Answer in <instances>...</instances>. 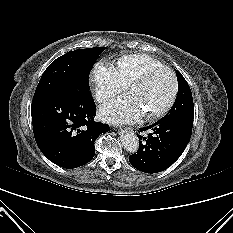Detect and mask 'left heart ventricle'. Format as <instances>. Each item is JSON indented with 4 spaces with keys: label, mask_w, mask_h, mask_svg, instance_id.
Instances as JSON below:
<instances>
[{
    "label": "left heart ventricle",
    "mask_w": 233,
    "mask_h": 233,
    "mask_svg": "<svg viewBox=\"0 0 233 233\" xmlns=\"http://www.w3.org/2000/svg\"><path fill=\"white\" fill-rule=\"evenodd\" d=\"M171 90V75L167 71L160 70L151 74L143 83L133 86L129 93L136 98L142 114H150L166 103Z\"/></svg>",
    "instance_id": "obj_1"
}]
</instances>
